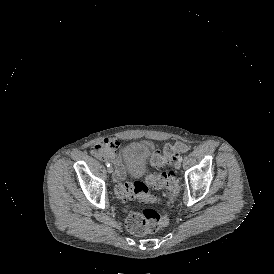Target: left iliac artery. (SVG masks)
<instances>
[{"label":"left iliac artery","instance_id":"left-iliac-artery-1","mask_svg":"<svg viewBox=\"0 0 274 274\" xmlns=\"http://www.w3.org/2000/svg\"><path fill=\"white\" fill-rule=\"evenodd\" d=\"M182 160H183V157H182V156H179V157H178V161L182 162Z\"/></svg>","mask_w":274,"mask_h":274}]
</instances>
